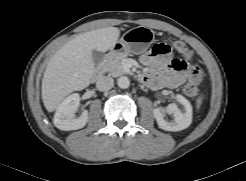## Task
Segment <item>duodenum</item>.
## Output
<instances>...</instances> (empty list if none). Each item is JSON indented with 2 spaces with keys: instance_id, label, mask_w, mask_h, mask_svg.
<instances>
[{
  "instance_id": "410a0bca",
  "label": "duodenum",
  "mask_w": 246,
  "mask_h": 181,
  "mask_svg": "<svg viewBox=\"0 0 246 181\" xmlns=\"http://www.w3.org/2000/svg\"><path fill=\"white\" fill-rule=\"evenodd\" d=\"M114 54V50H111L109 52H107L104 56V62L107 61L108 59H110ZM102 77V68L99 67L92 75V80L94 81H98L100 80Z\"/></svg>"
}]
</instances>
